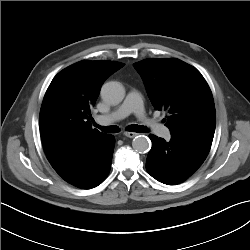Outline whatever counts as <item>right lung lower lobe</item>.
Wrapping results in <instances>:
<instances>
[{
	"instance_id": "right-lung-lower-lobe-1",
	"label": "right lung lower lobe",
	"mask_w": 250,
	"mask_h": 250,
	"mask_svg": "<svg viewBox=\"0 0 250 250\" xmlns=\"http://www.w3.org/2000/svg\"><path fill=\"white\" fill-rule=\"evenodd\" d=\"M114 145V136L103 134L51 165L66 182L78 188L91 189L107 177Z\"/></svg>"
}]
</instances>
